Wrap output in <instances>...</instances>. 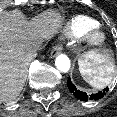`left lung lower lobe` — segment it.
<instances>
[{
    "instance_id": "obj_1",
    "label": "left lung lower lobe",
    "mask_w": 117,
    "mask_h": 117,
    "mask_svg": "<svg viewBox=\"0 0 117 117\" xmlns=\"http://www.w3.org/2000/svg\"><path fill=\"white\" fill-rule=\"evenodd\" d=\"M67 86L70 89V91L73 93V95L82 101L99 100L102 97H104V95L108 92V87H106L103 91H99L98 93L89 95L85 92L78 90L76 86L71 82L70 78H68L67 80Z\"/></svg>"
}]
</instances>
